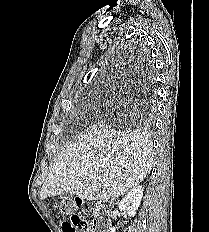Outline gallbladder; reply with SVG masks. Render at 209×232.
Segmentation results:
<instances>
[{"label": "gallbladder", "instance_id": "bac80fb5", "mask_svg": "<svg viewBox=\"0 0 209 232\" xmlns=\"http://www.w3.org/2000/svg\"><path fill=\"white\" fill-rule=\"evenodd\" d=\"M67 196H68V194L65 193V194L61 195V198H62V199H65V198H67Z\"/></svg>", "mask_w": 209, "mask_h": 232}]
</instances>
